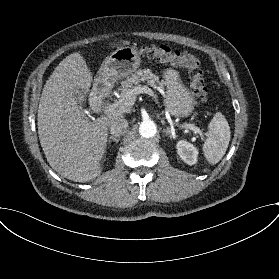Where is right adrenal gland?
I'll list each match as a JSON object with an SVG mask.
<instances>
[{
  "instance_id": "1",
  "label": "right adrenal gland",
  "mask_w": 279,
  "mask_h": 279,
  "mask_svg": "<svg viewBox=\"0 0 279 279\" xmlns=\"http://www.w3.org/2000/svg\"><path fill=\"white\" fill-rule=\"evenodd\" d=\"M112 141L118 143L120 141V137L110 136L108 142L111 143Z\"/></svg>"
}]
</instances>
